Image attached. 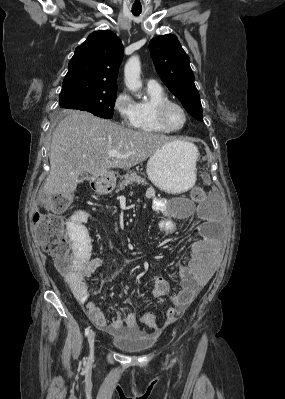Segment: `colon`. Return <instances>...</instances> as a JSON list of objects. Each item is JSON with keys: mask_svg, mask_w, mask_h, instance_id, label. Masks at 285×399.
Listing matches in <instances>:
<instances>
[{"mask_svg": "<svg viewBox=\"0 0 285 399\" xmlns=\"http://www.w3.org/2000/svg\"><path fill=\"white\" fill-rule=\"evenodd\" d=\"M206 193L200 186H195L190 191V197L193 200H200L205 197ZM54 205L59 208L69 205L68 200L57 199ZM81 239L78 246V252L82 258H89L91 255V243L84 222H80ZM30 231L34 236L38 247L41 251L49 254L54 258L56 266L61 273L73 278H79L80 270L72 263V254L66 240L65 222L55 213L37 212L31 219ZM180 315L175 308H169L167 311V319L174 320ZM141 322L145 327H159L156 315L147 311L141 316Z\"/></svg>", "mask_w": 285, "mask_h": 399, "instance_id": "1", "label": "colon"}]
</instances>
